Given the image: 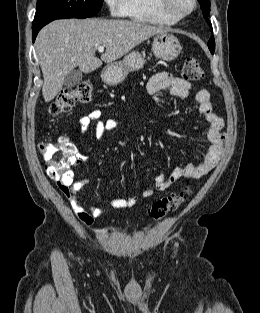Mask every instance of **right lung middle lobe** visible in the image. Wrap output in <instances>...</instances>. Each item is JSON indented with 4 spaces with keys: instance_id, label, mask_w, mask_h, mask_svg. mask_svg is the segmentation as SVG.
I'll return each instance as SVG.
<instances>
[{
    "instance_id": "1",
    "label": "right lung middle lobe",
    "mask_w": 260,
    "mask_h": 313,
    "mask_svg": "<svg viewBox=\"0 0 260 313\" xmlns=\"http://www.w3.org/2000/svg\"><path fill=\"white\" fill-rule=\"evenodd\" d=\"M103 0H37L34 20L87 18L96 15Z\"/></svg>"
}]
</instances>
